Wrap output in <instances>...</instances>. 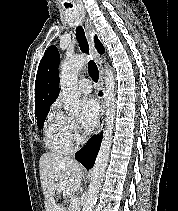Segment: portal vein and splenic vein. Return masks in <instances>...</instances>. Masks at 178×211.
<instances>
[{"label": "portal vein and splenic vein", "mask_w": 178, "mask_h": 211, "mask_svg": "<svg viewBox=\"0 0 178 211\" xmlns=\"http://www.w3.org/2000/svg\"><path fill=\"white\" fill-rule=\"evenodd\" d=\"M64 189H65V184H58L57 185V190L59 192H61ZM71 206H72L73 209L78 207V199L76 198V196L71 197Z\"/></svg>", "instance_id": "18ae733b"}]
</instances>
